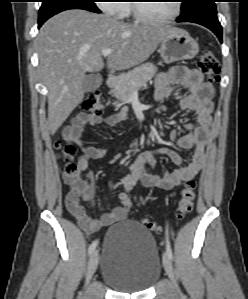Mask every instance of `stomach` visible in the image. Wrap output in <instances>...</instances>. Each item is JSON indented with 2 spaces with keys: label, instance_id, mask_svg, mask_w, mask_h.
<instances>
[{
  "label": "stomach",
  "instance_id": "obj_1",
  "mask_svg": "<svg viewBox=\"0 0 248 299\" xmlns=\"http://www.w3.org/2000/svg\"><path fill=\"white\" fill-rule=\"evenodd\" d=\"M198 51V43L186 31L178 28H172L159 47L160 55L167 64L192 59Z\"/></svg>",
  "mask_w": 248,
  "mask_h": 299
}]
</instances>
